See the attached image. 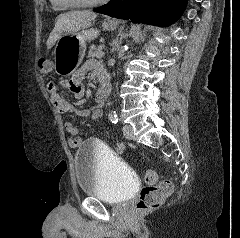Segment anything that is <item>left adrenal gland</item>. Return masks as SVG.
<instances>
[{"label":"left adrenal gland","instance_id":"a2214340","mask_svg":"<svg viewBox=\"0 0 240 238\" xmlns=\"http://www.w3.org/2000/svg\"><path fill=\"white\" fill-rule=\"evenodd\" d=\"M118 46H119V42H118V40H114V41H113V48H112V50L117 49Z\"/></svg>","mask_w":240,"mask_h":238}]
</instances>
